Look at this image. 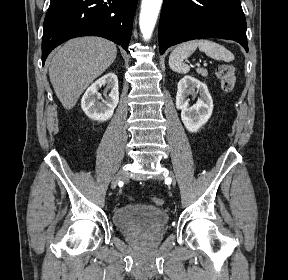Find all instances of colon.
I'll use <instances>...</instances> for the list:
<instances>
[{
  "label": "colon",
  "instance_id": "1",
  "mask_svg": "<svg viewBox=\"0 0 288 280\" xmlns=\"http://www.w3.org/2000/svg\"><path fill=\"white\" fill-rule=\"evenodd\" d=\"M216 76L220 80L221 88L225 92L233 91L236 83L235 70L229 64H221L216 69ZM152 201L157 206H162L164 200L162 198H152Z\"/></svg>",
  "mask_w": 288,
  "mask_h": 280
}]
</instances>
